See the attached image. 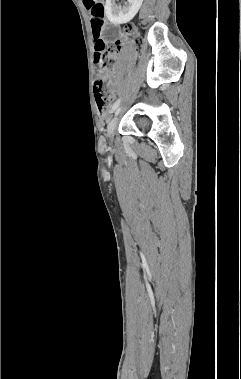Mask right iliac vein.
Returning a JSON list of instances; mask_svg holds the SVG:
<instances>
[{"mask_svg": "<svg viewBox=\"0 0 241 379\" xmlns=\"http://www.w3.org/2000/svg\"><path fill=\"white\" fill-rule=\"evenodd\" d=\"M120 110H121V107H117V108L114 110V118H113V120L110 122V124H109L108 127H107V133H106V135H107V137H109V138L113 135L114 130H115V128H116V124H117L116 116L119 114Z\"/></svg>", "mask_w": 241, "mask_h": 379, "instance_id": "obj_1", "label": "right iliac vein"}]
</instances>
